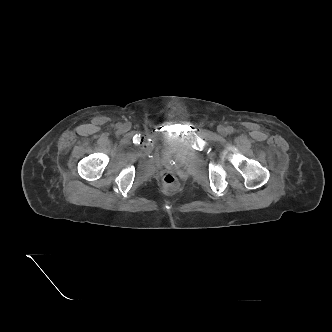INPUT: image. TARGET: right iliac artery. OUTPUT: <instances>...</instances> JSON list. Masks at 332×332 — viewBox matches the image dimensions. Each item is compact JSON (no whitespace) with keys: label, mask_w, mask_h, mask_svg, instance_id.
Instances as JSON below:
<instances>
[{"label":"right iliac artery","mask_w":332,"mask_h":332,"mask_svg":"<svg viewBox=\"0 0 332 332\" xmlns=\"http://www.w3.org/2000/svg\"><path fill=\"white\" fill-rule=\"evenodd\" d=\"M117 127H118V128H121V124H117Z\"/></svg>","instance_id":"82829eb1"}]
</instances>
